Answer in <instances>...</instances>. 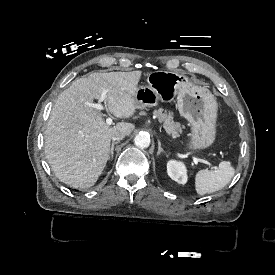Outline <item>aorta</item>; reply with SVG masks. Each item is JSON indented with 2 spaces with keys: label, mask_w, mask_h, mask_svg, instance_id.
<instances>
[{
  "label": "aorta",
  "mask_w": 275,
  "mask_h": 275,
  "mask_svg": "<svg viewBox=\"0 0 275 275\" xmlns=\"http://www.w3.org/2000/svg\"><path fill=\"white\" fill-rule=\"evenodd\" d=\"M150 142V137L147 134H138L134 138L135 146L141 149L149 147Z\"/></svg>",
  "instance_id": "aorta-1"
}]
</instances>
